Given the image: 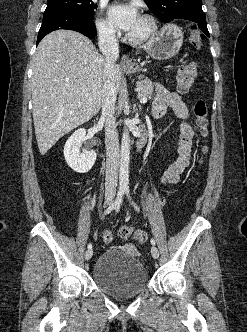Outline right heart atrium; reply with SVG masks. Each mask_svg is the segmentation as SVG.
Listing matches in <instances>:
<instances>
[{
  "label": "right heart atrium",
  "mask_w": 247,
  "mask_h": 332,
  "mask_svg": "<svg viewBox=\"0 0 247 332\" xmlns=\"http://www.w3.org/2000/svg\"><path fill=\"white\" fill-rule=\"evenodd\" d=\"M96 28L101 41L113 43L116 40V33L111 24L102 17L96 20Z\"/></svg>",
  "instance_id": "right-heart-atrium-1"
}]
</instances>
